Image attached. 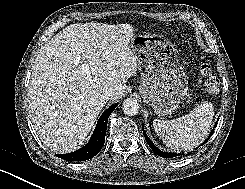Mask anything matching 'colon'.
Here are the masks:
<instances>
[{"label": "colon", "mask_w": 245, "mask_h": 189, "mask_svg": "<svg viewBox=\"0 0 245 189\" xmlns=\"http://www.w3.org/2000/svg\"><path fill=\"white\" fill-rule=\"evenodd\" d=\"M199 68L204 76V84L208 90L214 91L218 88L219 82L217 78L212 74L210 65L204 61L199 62Z\"/></svg>", "instance_id": "obj_1"}]
</instances>
